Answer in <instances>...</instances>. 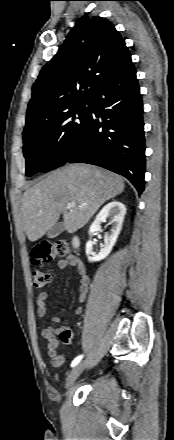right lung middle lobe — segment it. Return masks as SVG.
I'll use <instances>...</instances> for the list:
<instances>
[{
	"mask_svg": "<svg viewBox=\"0 0 174 440\" xmlns=\"http://www.w3.org/2000/svg\"><path fill=\"white\" fill-rule=\"evenodd\" d=\"M90 109V100H83L23 132L26 175L51 171L65 163L86 129Z\"/></svg>",
	"mask_w": 174,
	"mask_h": 440,
	"instance_id": "1",
	"label": "right lung middle lobe"
}]
</instances>
